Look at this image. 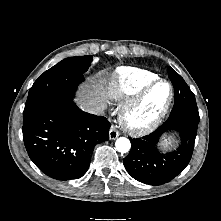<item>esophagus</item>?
<instances>
[{
	"label": "esophagus",
	"mask_w": 221,
	"mask_h": 221,
	"mask_svg": "<svg viewBox=\"0 0 221 221\" xmlns=\"http://www.w3.org/2000/svg\"><path fill=\"white\" fill-rule=\"evenodd\" d=\"M119 135H120L119 131L114 126H112L109 131L110 140L116 139Z\"/></svg>",
	"instance_id": "esophagus-1"
}]
</instances>
